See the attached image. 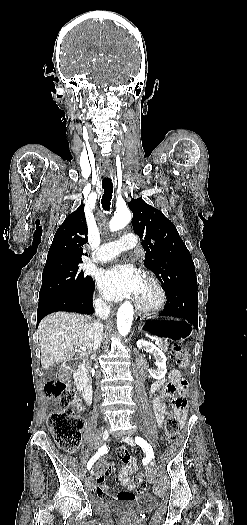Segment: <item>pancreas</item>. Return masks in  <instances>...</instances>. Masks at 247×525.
Segmentation results:
<instances>
[{
    "label": "pancreas",
    "instance_id": "cf45deb5",
    "mask_svg": "<svg viewBox=\"0 0 247 525\" xmlns=\"http://www.w3.org/2000/svg\"><path fill=\"white\" fill-rule=\"evenodd\" d=\"M160 349H162V351H168V343H161V345L159 346Z\"/></svg>",
    "mask_w": 247,
    "mask_h": 525
}]
</instances>
